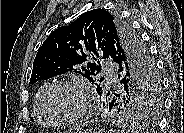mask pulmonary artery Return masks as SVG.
<instances>
[{"label": "pulmonary artery", "mask_w": 184, "mask_h": 133, "mask_svg": "<svg viewBox=\"0 0 184 133\" xmlns=\"http://www.w3.org/2000/svg\"><path fill=\"white\" fill-rule=\"evenodd\" d=\"M113 65L110 62H105L103 67V74L108 82H112L115 79L114 73L112 72Z\"/></svg>", "instance_id": "pulmonary-artery-1"}]
</instances>
